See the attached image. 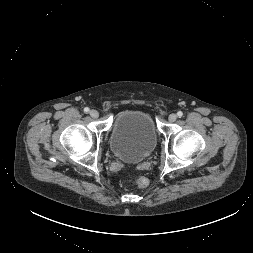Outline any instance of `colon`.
Here are the masks:
<instances>
[{
	"instance_id": "5ec220e1",
	"label": "colon",
	"mask_w": 253,
	"mask_h": 253,
	"mask_svg": "<svg viewBox=\"0 0 253 253\" xmlns=\"http://www.w3.org/2000/svg\"><path fill=\"white\" fill-rule=\"evenodd\" d=\"M134 183L139 188H145L148 185V181L144 177L135 178Z\"/></svg>"
}]
</instances>
